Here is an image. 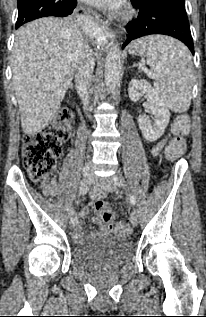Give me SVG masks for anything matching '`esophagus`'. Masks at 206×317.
I'll list each match as a JSON object with an SVG mask.
<instances>
[{
    "label": "esophagus",
    "instance_id": "1",
    "mask_svg": "<svg viewBox=\"0 0 206 317\" xmlns=\"http://www.w3.org/2000/svg\"><path fill=\"white\" fill-rule=\"evenodd\" d=\"M97 41L108 42L114 39L113 32L107 23L100 21L98 29L93 33Z\"/></svg>",
    "mask_w": 206,
    "mask_h": 317
}]
</instances>
